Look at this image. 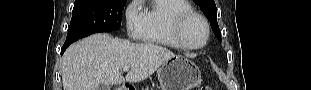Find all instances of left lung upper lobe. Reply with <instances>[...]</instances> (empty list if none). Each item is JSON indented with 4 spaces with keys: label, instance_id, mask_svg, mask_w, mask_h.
I'll list each match as a JSON object with an SVG mask.
<instances>
[{
    "label": "left lung upper lobe",
    "instance_id": "left-lung-upper-lobe-1",
    "mask_svg": "<svg viewBox=\"0 0 311 90\" xmlns=\"http://www.w3.org/2000/svg\"><path fill=\"white\" fill-rule=\"evenodd\" d=\"M200 6L207 19L210 21L212 31L219 41H221V33L217 23V8L214 0H194Z\"/></svg>",
    "mask_w": 311,
    "mask_h": 90
}]
</instances>
